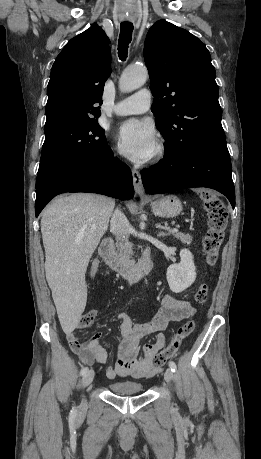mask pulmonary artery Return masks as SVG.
Instances as JSON below:
<instances>
[{"label": "pulmonary artery", "mask_w": 261, "mask_h": 459, "mask_svg": "<svg viewBox=\"0 0 261 459\" xmlns=\"http://www.w3.org/2000/svg\"><path fill=\"white\" fill-rule=\"evenodd\" d=\"M151 105V93L148 89H141L135 94L121 100L114 107L117 115L125 116L146 112Z\"/></svg>", "instance_id": "e3ab8cb5"}]
</instances>
